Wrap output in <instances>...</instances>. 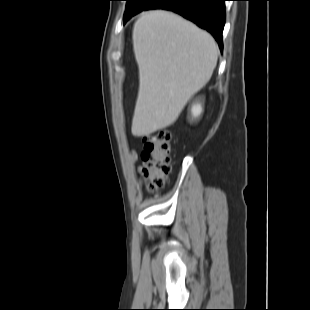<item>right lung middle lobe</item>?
Wrapping results in <instances>:
<instances>
[{"label": "right lung middle lobe", "instance_id": "1", "mask_svg": "<svg viewBox=\"0 0 310 310\" xmlns=\"http://www.w3.org/2000/svg\"><path fill=\"white\" fill-rule=\"evenodd\" d=\"M126 1H128V3L125 12V17H128L146 9L157 0H126Z\"/></svg>", "mask_w": 310, "mask_h": 310}]
</instances>
